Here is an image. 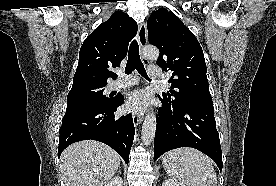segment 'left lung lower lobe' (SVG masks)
<instances>
[{
	"label": "left lung lower lobe",
	"mask_w": 276,
	"mask_h": 186,
	"mask_svg": "<svg viewBox=\"0 0 276 186\" xmlns=\"http://www.w3.org/2000/svg\"><path fill=\"white\" fill-rule=\"evenodd\" d=\"M162 107L158 111L154 139V161L165 152L192 147L208 155L222 170V152L216 129L213 105L174 107L159 95Z\"/></svg>",
	"instance_id": "obj_1"
}]
</instances>
